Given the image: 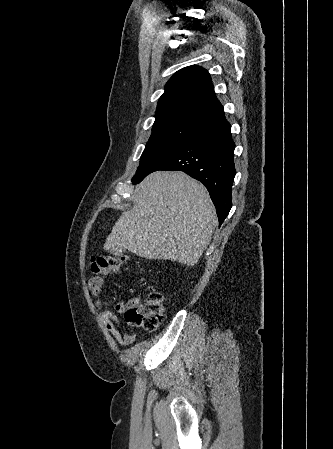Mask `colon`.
Masks as SVG:
<instances>
[{
	"label": "colon",
	"instance_id": "5ec220e1",
	"mask_svg": "<svg viewBox=\"0 0 333 449\" xmlns=\"http://www.w3.org/2000/svg\"><path fill=\"white\" fill-rule=\"evenodd\" d=\"M124 254H107L92 257L89 265L96 274H109L119 271L127 262ZM164 315V298L160 292H152L141 301L132 302L124 312L126 322L134 327L153 331L158 328Z\"/></svg>",
	"mask_w": 333,
	"mask_h": 449
}]
</instances>
